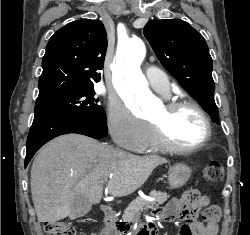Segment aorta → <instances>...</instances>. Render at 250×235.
<instances>
[{
  "label": "aorta",
  "instance_id": "obj_1",
  "mask_svg": "<svg viewBox=\"0 0 250 235\" xmlns=\"http://www.w3.org/2000/svg\"><path fill=\"white\" fill-rule=\"evenodd\" d=\"M146 55V48L142 40L135 39L124 45L120 51V58L112 66L113 81L124 102L131 106L138 103L145 115L151 112L155 98L147 86V80L140 70Z\"/></svg>",
  "mask_w": 250,
  "mask_h": 235
}]
</instances>
